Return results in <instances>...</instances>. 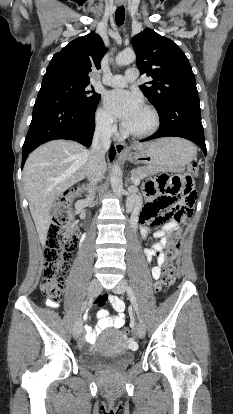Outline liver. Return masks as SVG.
<instances>
[{"label":"liver","mask_w":233,"mask_h":414,"mask_svg":"<svg viewBox=\"0 0 233 414\" xmlns=\"http://www.w3.org/2000/svg\"><path fill=\"white\" fill-rule=\"evenodd\" d=\"M147 143L137 144L139 149ZM89 151L80 143L53 140L35 149L23 169L24 191L42 245L51 224L54 201L87 175Z\"/></svg>","instance_id":"liver-1"}]
</instances>
